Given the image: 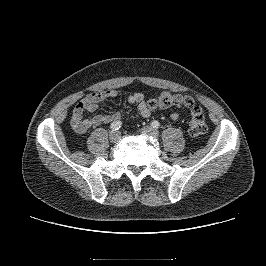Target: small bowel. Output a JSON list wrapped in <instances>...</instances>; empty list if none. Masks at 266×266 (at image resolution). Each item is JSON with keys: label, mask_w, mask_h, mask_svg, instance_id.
Instances as JSON below:
<instances>
[{"label": "small bowel", "mask_w": 266, "mask_h": 266, "mask_svg": "<svg viewBox=\"0 0 266 266\" xmlns=\"http://www.w3.org/2000/svg\"><path fill=\"white\" fill-rule=\"evenodd\" d=\"M116 96L117 92L109 89L95 91L82 98L72 111L71 126L73 130L76 133L83 134L92 127L121 119L123 113L120 111L109 115L95 114L88 118L84 116L85 112H95L99 104L104 100L112 99ZM127 100L130 104L136 105L138 112L143 117H149L156 109V107L150 106L149 101H147L141 93L130 95ZM171 119L174 121L177 120L178 114L172 113Z\"/></svg>", "instance_id": "small-bowel-1"}]
</instances>
